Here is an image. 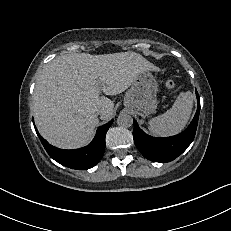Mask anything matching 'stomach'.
Wrapping results in <instances>:
<instances>
[{"label":"stomach","instance_id":"obj_1","mask_svg":"<svg viewBox=\"0 0 231 231\" xmlns=\"http://www.w3.org/2000/svg\"><path fill=\"white\" fill-rule=\"evenodd\" d=\"M158 84L150 73H139L131 83L124 97V106L132 112L145 117L156 111Z\"/></svg>","mask_w":231,"mask_h":231}]
</instances>
